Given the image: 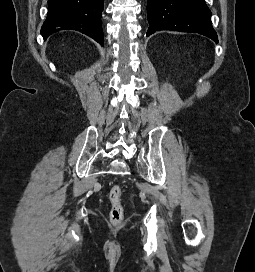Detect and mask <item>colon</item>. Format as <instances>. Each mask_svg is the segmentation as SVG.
I'll return each mask as SVG.
<instances>
[{"instance_id":"1","label":"colon","mask_w":255,"mask_h":272,"mask_svg":"<svg viewBox=\"0 0 255 272\" xmlns=\"http://www.w3.org/2000/svg\"><path fill=\"white\" fill-rule=\"evenodd\" d=\"M110 210L109 220L114 225H119L124 220V208L122 205V188L120 185H113L108 194Z\"/></svg>"}]
</instances>
